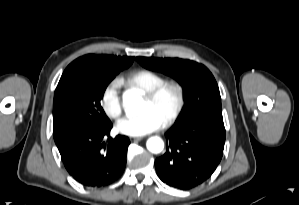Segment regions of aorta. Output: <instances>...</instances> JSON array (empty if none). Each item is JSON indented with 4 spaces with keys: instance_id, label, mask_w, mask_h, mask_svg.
<instances>
[{
    "instance_id": "aorta-1",
    "label": "aorta",
    "mask_w": 299,
    "mask_h": 205,
    "mask_svg": "<svg viewBox=\"0 0 299 205\" xmlns=\"http://www.w3.org/2000/svg\"><path fill=\"white\" fill-rule=\"evenodd\" d=\"M142 102L140 95L137 92L127 91L123 95V107L130 114H137ZM147 149L152 153H160L164 149V142L160 137L154 136L147 140Z\"/></svg>"
}]
</instances>
